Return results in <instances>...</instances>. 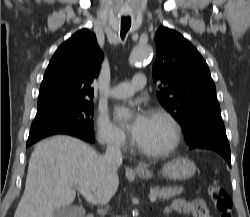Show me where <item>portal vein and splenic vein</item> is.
Wrapping results in <instances>:
<instances>
[{
  "label": "portal vein and splenic vein",
  "instance_id": "obj_1",
  "mask_svg": "<svg viewBox=\"0 0 250 217\" xmlns=\"http://www.w3.org/2000/svg\"><path fill=\"white\" fill-rule=\"evenodd\" d=\"M83 196L84 198L89 202V203H92V204H97V200L95 198V196L88 190L84 189V188H81V187H77L76 188ZM157 199L156 196L154 195H150V201L151 202H155Z\"/></svg>",
  "mask_w": 250,
  "mask_h": 217
}]
</instances>
